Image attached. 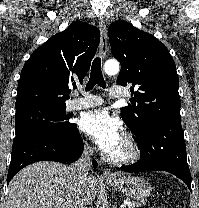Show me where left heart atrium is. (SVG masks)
<instances>
[{
  "instance_id": "1",
  "label": "left heart atrium",
  "mask_w": 199,
  "mask_h": 208,
  "mask_svg": "<svg viewBox=\"0 0 199 208\" xmlns=\"http://www.w3.org/2000/svg\"><path fill=\"white\" fill-rule=\"evenodd\" d=\"M79 129L93 139L107 155L123 140L121 122L105 109L84 114L79 121Z\"/></svg>"
}]
</instances>
